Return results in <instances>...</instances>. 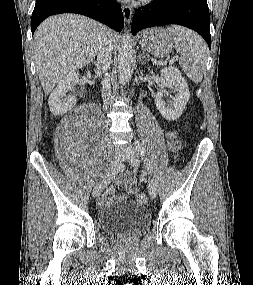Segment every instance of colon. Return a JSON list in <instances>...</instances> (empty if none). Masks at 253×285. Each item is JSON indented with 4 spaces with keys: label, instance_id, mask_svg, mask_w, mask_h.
<instances>
[{
    "label": "colon",
    "instance_id": "obj_1",
    "mask_svg": "<svg viewBox=\"0 0 253 285\" xmlns=\"http://www.w3.org/2000/svg\"><path fill=\"white\" fill-rule=\"evenodd\" d=\"M136 200L139 204H146L148 202V198L145 193H140L137 195Z\"/></svg>",
    "mask_w": 253,
    "mask_h": 285
}]
</instances>
